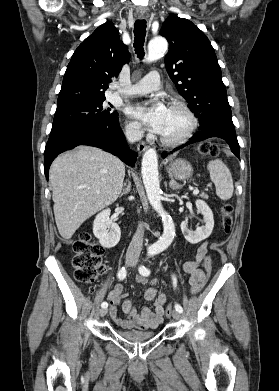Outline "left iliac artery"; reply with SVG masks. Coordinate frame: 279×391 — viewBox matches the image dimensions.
Here are the masks:
<instances>
[{"mask_svg": "<svg viewBox=\"0 0 279 391\" xmlns=\"http://www.w3.org/2000/svg\"><path fill=\"white\" fill-rule=\"evenodd\" d=\"M154 254H156V250H150V251L148 252V255H149V256H152V255H154ZM139 273H140L141 275H143V276H148V275H150V270H149L147 267H145V266H140V267H139ZM172 280H173V286H174V288H175V287L177 286V279H176L175 276H173V277H172ZM175 309H176V311H178V312H180V313L183 312V308H182L181 305H179V304H175Z\"/></svg>", "mask_w": 279, "mask_h": 391, "instance_id": "left-iliac-artery-1", "label": "left iliac artery"}]
</instances>
